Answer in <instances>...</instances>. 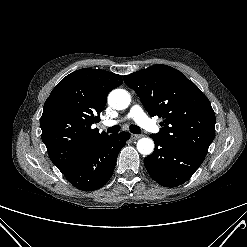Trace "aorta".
<instances>
[{
  "mask_svg": "<svg viewBox=\"0 0 247 247\" xmlns=\"http://www.w3.org/2000/svg\"><path fill=\"white\" fill-rule=\"evenodd\" d=\"M131 102L130 94L123 89H115L108 96L109 105L117 110L126 109ZM137 149L143 155H149L154 150V142L151 138H141L137 142Z\"/></svg>",
  "mask_w": 247,
  "mask_h": 247,
  "instance_id": "762f6f07",
  "label": "aorta"
}]
</instances>
